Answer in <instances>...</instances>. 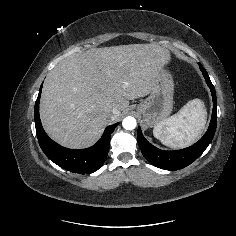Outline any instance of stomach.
<instances>
[{"label": "stomach", "mask_w": 236, "mask_h": 236, "mask_svg": "<svg viewBox=\"0 0 236 236\" xmlns=\"http://www.w3.org/2000/svg\"><path fill=\"white\" fill-rule=\"evenodd\" d=\"M174 82L171 74L162 68L150 95L141 101L137 110L148 127H154L165 120L173 109Z\"/></svg>", "instance_id": "0dacf381"}]
</instances>
